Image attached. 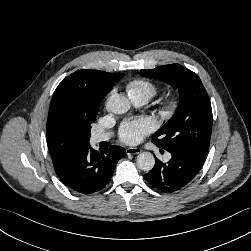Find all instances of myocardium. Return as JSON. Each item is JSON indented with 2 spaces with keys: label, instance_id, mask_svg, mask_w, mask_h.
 Segmentation results:
<instances>
[{
  "label": "myocardium",
  "instance_id": "1",
  "mask_svg": "<svg viewBox=\"0 0 251 251\" xmlns=\"http://www.w3.org/2000/svg\"><path fill=\"white\" fill-rule=\"evenodd\" d=\"M179 107V100L176 97H172L166 100L161 107V113L165 118L172 117Z\"/></svg>",
  "mask_w": 251,
  "mask_h": 251
}]
</instances>
